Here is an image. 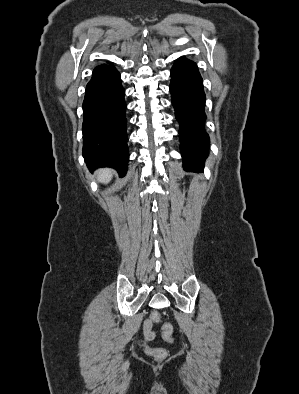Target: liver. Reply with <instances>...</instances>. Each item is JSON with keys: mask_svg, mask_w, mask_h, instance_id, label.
<instances>
[{"mask_svg": "<svg viewBox=\"0 0 299 394\" xmlns=\"http://www.w3.org/2000/svg\"><path fill=\"white\" fill-rule=\"evenodd\" d=\"M97 178L101 183H108L112 179V171L110 169H101L97 171Z\"/></svg>", "mask_w": 299, "mask_h": 394, "instance_id": "1", "label": "liver"}]
</instances>
